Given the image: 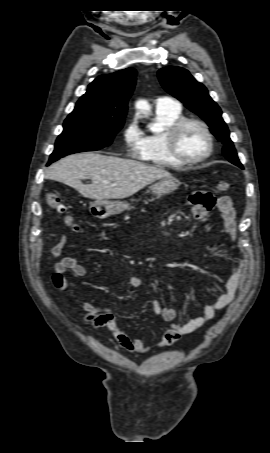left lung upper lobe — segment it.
Here are the masks:
<instances>
[{"label": "left lung upper lobe", "mask_w": 270, "mask_h": 453, "mask_svg": "<svg viewBox=\"0 0 270 453\" xmlns=\"http://www.w3.org/2000/svg\"><path fill=\"white\" fill-rule=\"evenodd\" d=\"M158 77L168 93L182 101L188 109L209 125L212 134L224 144L223 155L231 163L243 168L229 137V130L222 119L221 109L209 96L206 87L197 82L186 69L180 67L162 68L158 71Z\"/></svg>", "instance_id": "1"}]
</instances>
